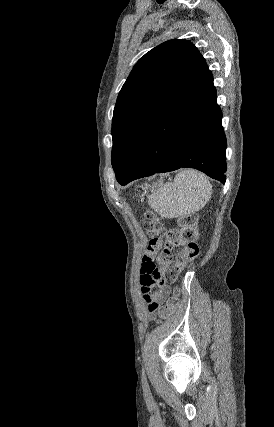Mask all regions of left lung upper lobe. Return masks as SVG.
<instances>
[{"label": "left lung upper lobe", "mask_w": 274, "mask_h": 427, "mask_svg": "<svg viewBox=\"0 0 274 427\" xmlns=\"http://www.w3.org/2000/svg\"><path fill=\"white\" fill-rule=\"evenodd\" d=\"M185 39L162 43L146 53L123 85L112 120V165L126 175L156 120L205 65Z\"/></svg>", "instance_id": "5c2ea615"}]
</instances>
